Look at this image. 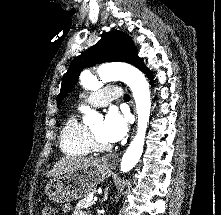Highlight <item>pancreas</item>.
<instances>
[{
  "instance_id": "obj_1",
  "label": "pancreas",
  "mask_w": 221,
  "mask_h": 215,
  "mask_svg": "<svg viewBox=\"0 0 221 215\" xmlns=\"http://www.w3.org/2000/svg\"><path fill=\"white\" fill-rule=\"evenodd\" d=\"M89 198L90 195L79 201L76 204V209H89L95 203V201H92Z\"/></svg>"
}]
</instances>
